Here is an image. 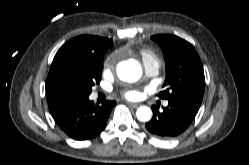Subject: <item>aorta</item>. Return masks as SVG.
I'll return each instance as SVG.
<instances>
[{
	"label": "aorta",
	"mask_w": 249,
	"mask_h": 165,
	"mask_svg": "<svg viewBox=\"0 0 249 165\" xmlns=\"http://www.w3.org/2000/svg\"><path fill=\"white\" fill-rule=\"evenodd\" d=\"M117 75L119 79L127 82H135L142 75L141 65L136 60H128L118 64ZM139 121L147 122L152 117V111L147 106H141L136 111Z\"/></svg>",
	"instance_id": "aorta-1"
}]
</instances>
